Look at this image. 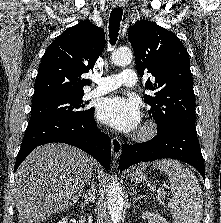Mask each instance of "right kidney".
Here are the masks:
<instances>
[{
	"mask_svg": "<svg viewBox=\"0 0 221 223\" xmlns=\"http://www.w3.org/2000/svg\"><path fill=\"white\" fill-rule=\"evenodd\" d=\"M58 223H68L67 218H62V220H60Z\"/></svg>",
	"mask_w": 221,
	"mask_h": 223,
	"instance_id": "right-kidney-1",
	"label": "right kidney"
}]
</instances>
